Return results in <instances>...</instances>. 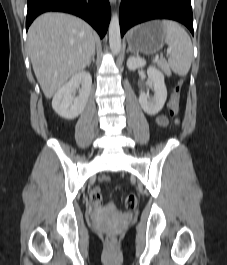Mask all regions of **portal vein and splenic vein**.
Wrapping results in <instances>:
<instances>
[{"label":"portal vein and splenic vein","instance_id":"1","mask_svg":"<svg viewBox=\"0 0 227 265\" xmlns=\"http://www.w3.org/2000/svg\"><path fill=\"white\" fill-rule=\"evenodd\" d=\"M167 53L170 54L171 50H168ZM154 61L157 62L158 61V57H155Z\"/></svg>","mask_w":227,"mask_h":265}]
</instances>
